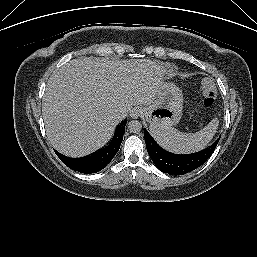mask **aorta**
Here are the masks:
<instances>
[{
    "instance_id": "762f6f07",
    "label": "aorta",
    "mask_w": 257,
    "mask_h": 257,
    "mask_svg": "<svg viewBox=\"0 0 257 257\" xmlns=\"http://www.w3.org/2000/svg\"><path fill=\"white\" fill-rule=\"evenodd\" d=\"M128 129L131 133H139L142 130V124L137 120L128 123Z\"/></svg>"
}]
</instances>
